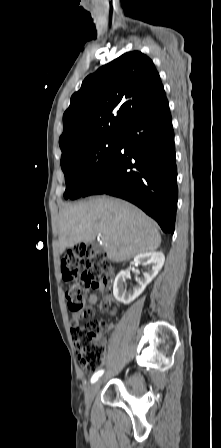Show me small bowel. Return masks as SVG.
<instances>
[{"instance_id":"obj_1","label":"small bowel","mask_w":221,"mask_h":448,"mask_svg":"<svg viewBox=\"0 0 221 448\" xmlns=\"http://www.w3.org/2000/svg\"><path fill=\"white\" fill-rule=\"evenodd\" d=\"M99 291L103 293V300L99 303V308L103 312H106L110 315L114 314V309L111 308V304L113 302L112 296L109 293L108 287L102 286L99 288ZM88 303L90 305H95L98 303V296L96 294H90L88 297ZM83 318V314L80 312H74L72 314V323L73 325H77L80 319Z\"/></svg>"}]
</instances>
